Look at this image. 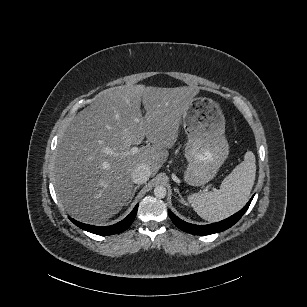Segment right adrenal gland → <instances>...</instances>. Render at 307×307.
Listing matches in <instances>:
<instances>
[{"instance_id": "1", "label": "right adrenal gland", "mask_w": 307, "mask_h": 307, "mask_svg": "<svg viewBox=\"0 0 307 307\" xmlns=\"http://www.w3.org/2000/svg\"><path fill=\"white\" fill-rule=\"evenodd\" d=\"M138 187H140V185H135V186H133V190H132V192H131V194H130V199H129V201H131V200L133 199V197H134V195H135V192H136V189H137Z\"/></svg>"}]
</instances>
